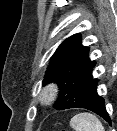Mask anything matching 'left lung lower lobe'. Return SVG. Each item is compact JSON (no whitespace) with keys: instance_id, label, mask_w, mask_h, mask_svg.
Returning a JSON list of instances; mask_svg holds the SVG:
<instances>
[{"instance_id":"0a47b994","label":"left lung lower lobe","mask_w":117,"mask_h":131,"mask_svg":"<svg viewBox=\"0 0 117 131\" xmlns=\"http://www.w3.org/2000/svg\"><path fill=\"white\" fill-rule=\"evenodd\" d=\"M96 86L97 79L91 77L83 88H75L68 91L67 95L70 96V101L66 109L85 108L95 112L111 124V119L105 108L104 99L97 94Z\"/></svg>"}]
</instances>
